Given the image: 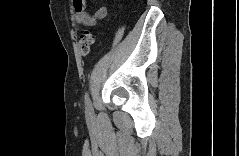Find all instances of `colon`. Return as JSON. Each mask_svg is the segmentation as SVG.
<instances>
[{
    "instance_id": "obj_1",
    "label": "colon",
    "mask_w": 239,
    "mask_h": 156,
    "mask_svg": "<svg viewBox=\"0 0 239 156\" xmlns=\"http://www.w3.org/2000/svg\"><path fill=\"white\" fill-rule=\"evenodd\" d=\"M95 41V36L92 32L90 31H85L80 38L79 41V49H80V54L83 57H86L91 49V46L93 45Z\"/></svg>"
}]
</instances>
